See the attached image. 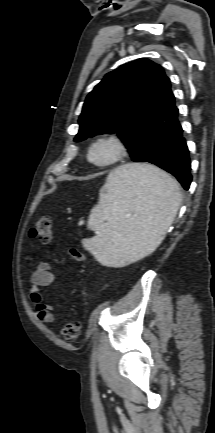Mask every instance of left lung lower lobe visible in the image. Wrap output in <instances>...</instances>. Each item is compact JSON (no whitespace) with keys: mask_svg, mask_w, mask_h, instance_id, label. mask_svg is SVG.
<instances>
[{"mask_svg":"<svg viewBox=\"0 0 215 433\" xmlns=\"http://www.w3.org/2000/svg\"><path fill=\"white\" fill-rule=\"evenodd\" d=\"M178 109H175L174 119L167 128L161 141L158 156L153 164L171 173L185 190L192 181L189 150L183 137L182 127L177 119Z\"/></svg>","mask_w":215,"mask_h":433,"instance_id":"0a47b994","label":"left lung lower lobe"}]
</instances>
